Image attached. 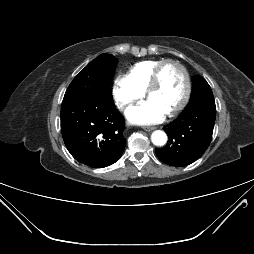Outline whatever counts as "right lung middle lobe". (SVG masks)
<instances>
[{
	"label": "right lung middle lobe",
	"instance_id": "dd1d6c3e",
	"mask_svg": "<svg viewBox=\"0 0 254 254\" xmlns=\"http://www.w3.org/2000/svg\"><path fill=\"white\" fill-rule=\"evenodd\" d=\"M117 63L112 54L98 56L74 78L64 97H78L97 104L113 102L111 82Z\"/></svg>",
	"mask_w": 254,
	"mask_h": 254
}]
</instances>
